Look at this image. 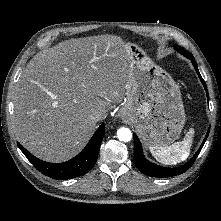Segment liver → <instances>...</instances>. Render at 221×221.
<instances>
[{
  "label": "liver",
  "instance_id": "1",
  "mask_svg": "<svg viewBox=\"0 0 221 221\" xmlns=\"http://www.w3.org/2000/svg\"><path fill=\"white\" fill-rule=\"evenodd\" d=\"M129 50L121 37L69 39L38 52L16 85L13 129L36 157L63 162L77 155L96 129L94 110L104 119L126 96Z\"/></svg>",
  "mask_w": 221,
  "mask_h": 221
}]
</instances>
